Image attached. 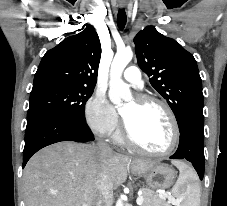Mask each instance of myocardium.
<instances>
[{
	"label": "myocardium",
	"mask_w": 227,
	"mask_h": 206,
	"mask_svg": "<svg viewBox=\"0 0 227 206\" xmlns=\"http://www.w3.org/2000/svg\"><path fill=\"white\" fill-rule=\"evenodd\" d=\"M135 101L139 105H142V106L157 105L166 112V114L168 115L169 120L171 122V125H172V130H173L172 142H171L170 146L163 151H152V150L145 149L134 139V137L130 133V130H129L124 118H123V127H122L123 140L130 147H132L136 151L143 153V154L152 155V156H166V155H169L170 153H172L177 148L179 141H180V127H179L178 120H177L172 108L162 99L152 97V96H145V95L137 96L135 98Z\"/></svg>",
	"instance_id": "obj_1"
}]
</instances>
